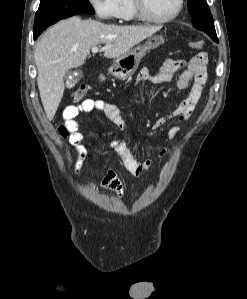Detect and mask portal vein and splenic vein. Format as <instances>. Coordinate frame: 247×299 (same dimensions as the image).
<instances>
[{
  "label": "portal vein and splenic vein",
  "instance_id": "18ae733b",
  "mask_svg": "<svg viewBox=\"0 0 247 299\" xmlns=\"http://www.w3.org/2000/svg\"><path fill=\"white\" fill-rule=\"evenodd\" d=\"M105 49H106V47H103V48L93 47L92 48V53H97V52H100V51H104Z\"/></svg>",
  "mask_w": 247,
  "mask_h": 299
}]
</instances>
